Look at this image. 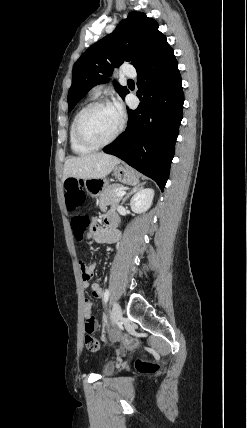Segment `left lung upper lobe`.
Returning <instances> with one entry per match:
<instances>
[{"label":"left lung upper lobe","mask_w":247,"mask_h":428,"mask_svg":"<svg viewBox=\"0 0 247 428\" xmlns=\"http://www.w3.org/2000/svg\"><path fill=\"white\" fill-rule=\"evenodd\" d=\"M158 27V23L144 13L131 12L112 34L90 46L74 64L68 110L71 111L93 86L105 82L114 67L129 62L138 70L171 48ZM114 86L122 98L129 92L117 82Z\"/></svg>","instance_id":"left-lung-upper-lobe-1"}]
</instances>
